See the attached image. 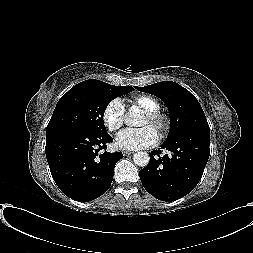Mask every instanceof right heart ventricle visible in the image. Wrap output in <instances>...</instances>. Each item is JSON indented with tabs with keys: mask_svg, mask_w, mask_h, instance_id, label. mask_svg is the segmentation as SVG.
I'll return each mask as SVG.
<instances>
[{
	"mask_svg": "<svg viewBox=\"0 0 253 253\" xmlns=\"http://www.w3.org/2000/svg\"><path fill=\"white\" fill-rule=\"evenodd\" d=\"M133 108H139L142 111H159L160 104L158 100L150 95L140 94L129 99Z\"/></svg>",
	"mask_w": 253,
	"mask_h": 253,
	"instance_id": "right-heart-ventricle-1",
	"label": "right heart ventricle"
}]
</instances>
